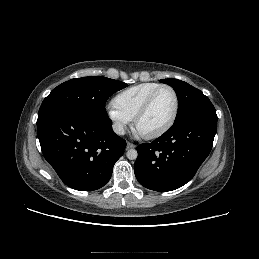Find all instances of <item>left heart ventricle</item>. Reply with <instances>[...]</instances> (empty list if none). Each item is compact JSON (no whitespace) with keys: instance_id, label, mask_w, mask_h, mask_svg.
<instances>
[{"instance_id":"1","label":"left heart ventricle","mask_w":259,"mask_h":259,"mask_svg":"<svg viewBox=\"0 0 259 259\" xmlns=\"http://www.w3.org/2000/svg\"><path fill=\"white\" fill-rule=\"evenodd\" d=\"M175 106L173 93L169 89L160 90L147 114L138 124V131L143 134L155 132L162 128L171 118Z\"/></svg>"}]
</instances>
